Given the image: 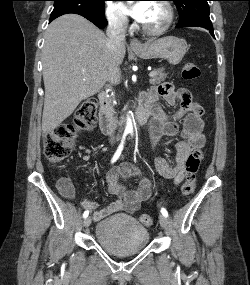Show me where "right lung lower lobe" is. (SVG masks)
<instances>
[{
  "mask_svg": "<svg viewBox=\"0 0 250 285\" xmlns=\"http://www.w3.org/2000/svg\"><path fill=\"white\" fill-rule=\"evenodd\" d=\"M92 23H94L99 28H104L107 25V20L104 17L94 16V15H88V14H79ZM54 19H50V22Z\"/></svg>",
  "mask_w": 250,
  "mask_h": 285,
  "instance_id": "1",
  "label": "right lung lower lobe"
}]
</instances>
